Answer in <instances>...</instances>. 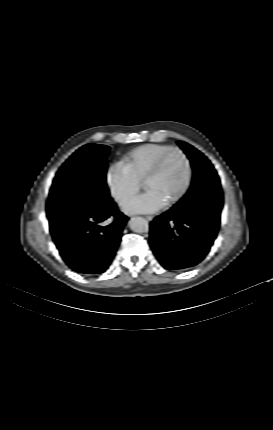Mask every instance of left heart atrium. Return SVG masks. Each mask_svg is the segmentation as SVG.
<instances>
[{"label":"left heart atrium","instance_id":"1","mask_svg":"<svg viewBox=\"0 0 273 430\" xmlns=\"http://www.w3.org/2000/svg\"><path fill=\"white\" fill-rule=\"evenodd\" d=\"M165 205L166 203L155 191L148 190L129 201L125 205L124 211L128 214L154 213L164 208Z\"/></svg>","mask_w":273,"mask_h":430}]
</instances>
